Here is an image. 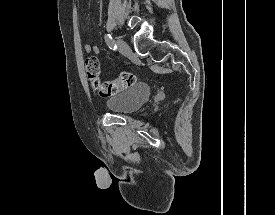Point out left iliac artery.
I'll list each match as a JSON object with an SVG mask.
<instances>
[{
  "label": "left iliac artery",
  "mask_w": 275,
  "mask_h": 215,
  "mask_svg": "<svg viewBox=\"0 0 275 215\" xmlns=\"http://www.w3.org/2000/svg\"><path fill=\"white\" fill-rule=\"evenodd\" d=\"M105 41L110 49H117V45L110 34L105 35Z\"/></svg>",
  "instance_id": "obj_1"
}]
</instances>
